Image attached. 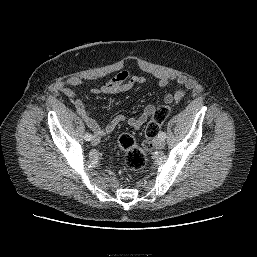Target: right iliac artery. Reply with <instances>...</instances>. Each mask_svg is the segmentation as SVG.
I'll list each match as a JSON object with an SVG mask.
<instances>
[{
	"label": "right iliac artery",
	"instance_id": "82829eb1",
	"mask_svg": "<svg viewBox=\"0 0 257 257\" xmlns=\"http://www.w3.org/2000/svg\"><path fill=\"white\" fill-rule=\"evenodd\" d=\"M84 139H85L86 141H90V140L92 139V135H91L90 133H86V134L84 135Z\"/></svg>",
	"mask_w": 257,
	"mask_h": 257
}]
</instances>
